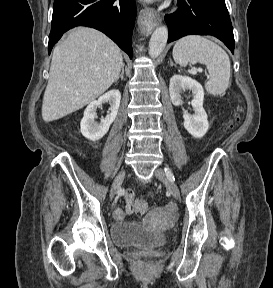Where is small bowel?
Here are the masks:
<instances>
[{
	"mask_svg": "<svg viewBox=\"0 0 273 288\" xmlns=\"http://www.w3.org/2000/svg\"><path fill=\"white\" fill-rule=\"evenodd\" d=\"M135 200V194L132 190H127L125 193V201H126V207H116L114 209V217L117 220H122L125 218V216L129 213H132L133 210V203Z\"/></svg>",
	"mask_w": 273,
	"mask_h": 288,
	"instance_id": "obj_1",
	"label": "small bowel"
}]
</instances>
